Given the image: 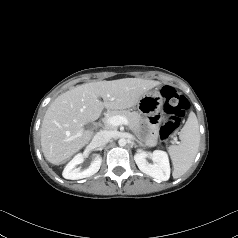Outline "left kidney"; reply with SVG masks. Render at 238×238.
Here are the masks:
<instances>
[{
	"label": "left kidney",
	"mask_w": 238,
	"mask_h": 238,
	"mask_svg": "<svg viewBox=\"0 0 238 238\" xmlns=\"http://www.w3.org/2000/svg\"><path fill=\"white\" fill-rule=\"evenodd\" d=\"M149 156L153 164L146 160ZM134 159L143 173L160 181H167L170 178L169 158L165 151L155 150L152 154L139 152L135 154Z\"/></svg>",
	"instance_id": "left-kidney-1"
}]
</instances>
